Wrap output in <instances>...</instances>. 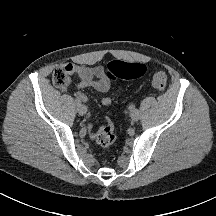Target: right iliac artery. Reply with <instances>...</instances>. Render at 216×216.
<instances>
[{"label":"right iliac artery","mask_w":216,"mask_h":216,"mask_svg":"<svg viewBox=\"0 0 216 216\" xmlns=\"http://www.w3.org/2000/svg\"><path fill=\"white\" fill-rule=\"evenodd\" d=\"M75 103H76L77 105H80V104H81V101H80L79 99H75Z\"/></svg>","instance_id":"obj_1"}]
</instances>
